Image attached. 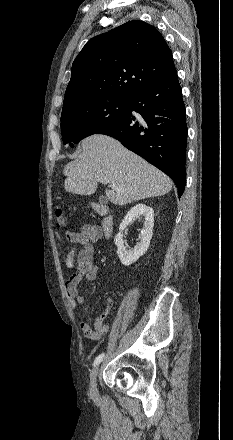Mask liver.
<instances>
[{"mask_svg": "<svg viewBox=\"0 0 233 440\" xmlns=\"http://www.w3.org/2000/svg\"><path fill=\"white\" fill-rule=\"evenodd\" d=\"M79 159L63 170L69 193L91 195L98 183L114 184L106 196L115 205H126L148 197L161 196L172 188L171 179L147 161L126 149L118 140L102 134L85 138Z\"/></svg>", "mask_w": 233, "mask_h": 440, "instance_id": "6515ba94", "label": "liver"}]
</instances>
